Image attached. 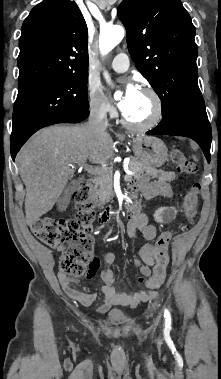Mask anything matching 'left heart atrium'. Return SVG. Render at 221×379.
Returning <instances> with one entry per match:
<instances>
[{"label":"left heart atrium","instance_id":"1","mask_svg":"<svg viewBox=\"0 0 221 379\" xmlns=\"http://www.w3.org/2000/svg\"><path fill=\"white\" fill-rule=\"evenodd\" d=\"M140 93L141 92L133 83H128L125 87L123 96L118 103L120 110L123 113L127 112L134 105Z\"/></svg>","mask_w":221,"mask_h":379}]
</instances>
